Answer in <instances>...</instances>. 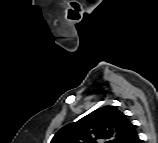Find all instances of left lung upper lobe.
Instances as JSON below:
<instances>
[{"label":"left lung upper lobe","mask_w":158,"mask_h":143,"mask_svg":"<svg viewBox=\"0 0 158 143\" xmlns=\"http://www.w3.org/2000/svg\"><path fill=\"white\" fill-rule=\"evenodd\" d=\"M138 143L135 127L115 106L96 109L77 122L61 128L51 143Z\"/></svg>","instance_id":"obj_1"}]
</instances>
